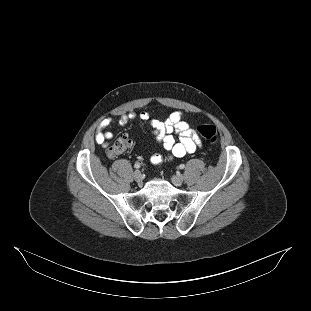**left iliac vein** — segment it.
I'll use <instances>...</instances> for the list:
<instances>
[{
    "label": "left iliac vein",
    "instance_id": "obj_1",
    "mask_svg": "<svg viewBox=\"0 0 311 311\" xmlns=\"http://www.w3.org/2000/svg\"><path fill=\"white\" fill-rule=\"evenodd\" d=\"M171 179L175 186H181L184 181V177L182 175H173Z\"/></svg>",
    "mask_w": 311,
    "mask_h": 311
}]
</instances>
